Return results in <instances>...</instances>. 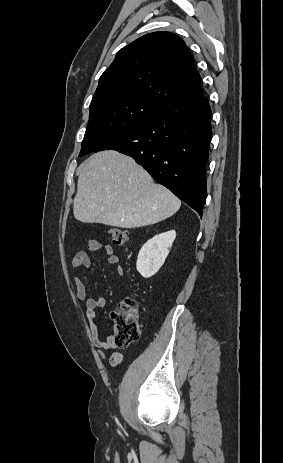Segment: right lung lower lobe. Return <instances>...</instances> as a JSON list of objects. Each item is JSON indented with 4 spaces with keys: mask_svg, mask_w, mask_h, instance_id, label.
I'll list each match as a JSON object with an SVG mask.
<instances>
[{
    "mask_svg": "<svg viewBox=\"0 0 283 463\" xmlns=\"http://www.w3.org/2000/svg\"><path fill=\"white\" fill-rule=\"evenodd\" d=\"M211 109L202 95L167 105L95 150H117L196 210L206 200Z\"/></svg>",
    "mask_w": 283,
    "mask_h": 463,
    "instance_id": "obj_1",
    "label": "right lung lower lobe"
}]
</instances>
